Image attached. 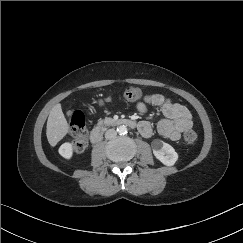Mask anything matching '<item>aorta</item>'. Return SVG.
<instances>
[{"label": "aorta", "instance_id": "obj_1", "mask_svg": "<svg viewBox=\"0 0 243 243\" xmlns=\"http://www.w3.org/2000/svg\"><path fill=\"white\" fill-rule=\"evenodd\" d=\"M117 132L120 134V135H124L127 133V127L125 125H121L117 128Z\"/></svg>", "mask_w": 243, "mask_h": 243}]
</instances>
